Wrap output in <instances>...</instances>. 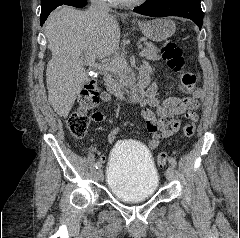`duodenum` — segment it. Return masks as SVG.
<instances>
[{
	"label": "duodenum",
	"instance_id": "duodenum-1",
	"mask_svg": "<svg viewBox=\"0 0 240 238\" xmlns=\"http://www.w3.org/2000/svg\"><path fill=\"white\" fill-rule=\"evenodd\" d=\"M104 80L108 91L114 96L127 100L129 102H141L146 94V87L149 83V75L147 72H141L137 82L130 88L128 94L125 93L123 87L115 82L111 74L104 72Z\"/></svg>",
	"mask_w": 240,
	"mask_h": 238
}]
</instances>
